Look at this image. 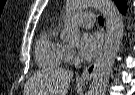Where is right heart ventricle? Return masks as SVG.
<instances>
[{
  "label": "right heart ventricle",
  "instance_id": "right-heart-ventricle-1",
  "mask_svg": "<svg viewBox=\"0 0 135 95\" xmlns=\"http://www.w3.org/2000/svg\"><path fill=\"white\" fill-rule=\"evenodd\" d=\"M66 50V45L58 35V25H48L36 41V62L41 67H59L66 58Z\"/></svg>",
  "mask_w": 135,
  "mask_h": 95
}]
</instances>
